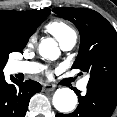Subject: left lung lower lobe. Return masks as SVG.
Here are the masks:
<instances>
[{
	"label": "left lung lower lobe",
	"mask_w": 117,
	"mask_h": 117,
	"mask_svg": "<svg viewBox=\"0 0 117 117\" xmlns=\"http://www.w3.org/2000/svg\"><path fill=\"white\" fill-rule=\"evenodd\" d=\"M76 91L79 98L77 109L71 114H57L56 117H110L117 104V90L100 87L87 86V94L80 95V91Z\"/></svg>",
	"instance_id": "left-lung-lower-lobe-1"
}]
</instances>
